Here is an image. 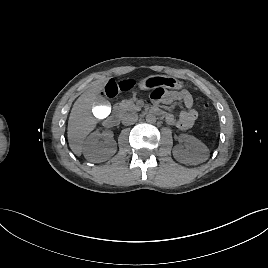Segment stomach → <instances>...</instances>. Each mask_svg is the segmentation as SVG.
<instances>
[{
    "label": "stomach",
    "mask_w": 268,
    "mask_h": 268,
    "mask_svg": "<svg viewBox=\"0 0 268 268\" xmlns=\"http://www.w3.org/2000/svg\"><path fill=\"white\" fill-rule=\"evenodd\" d=\"M140 90H154L157 88L180 90L184 87L183 81L168 75H150L139 82Z\"/></svg>",
    "instance_id": "1"
}]
</instances>
